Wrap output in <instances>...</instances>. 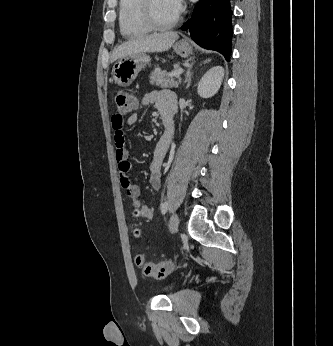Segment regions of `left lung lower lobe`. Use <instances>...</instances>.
<instances>
[{
    "label": "left lung lower lobe",
    "mask_w": 333,
    "mask_h": 346,
    "mask_svg": "<svg viewBox=\"0 0 333 346\" xmlns=\"http://www.w3.org/2000/svg\"><path fill=\"white\" fill-rule=\"evenodd\" d=\"M232 14L230 0H200L182 30H189L197 44L220 52L229 61L233 35Z\"/></svg>",
    "instance_id": "1"
}]
</instances>
